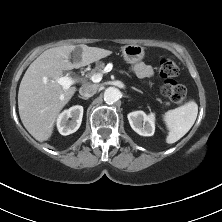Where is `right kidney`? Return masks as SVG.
I'll list each match as a JSON object with an SVG mask.
<instances>
[{
	"label": "right kidney",
	"instance_id": "obj_1",
	"mask_svg": "<svg viewBox=\"0 0 222 222\" xmlns=\"http://www.w3.org/2000/svg\"><path fill=\"white\" fill-rule=\"evenodd\" d=\"M83 107L80 105L73 106L64 110L57 118V128L61 135H69L76 132L82 122ZM71 118V120H69Z\"/></svg>",
	"mask_w": 222,
	"mask_h": 222
}]
</instances>
